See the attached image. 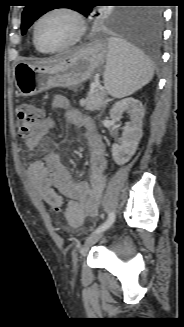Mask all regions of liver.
<instances>
[{"mask_svg": "<svg viewBox=\"0 0 184 327\" xmlns=\"http://www.w3.org/2000/svg\"><path fill=\"white\" fill-rule=\"evenodd\" d=\"M61 59H55V60H48V61H41V62H37V64H48V63H53V62H57Z\"/></svg>", "mask_w": 184, "mask_h": 327, "instance_id": "1", "label": "liver"}]
</instances>
